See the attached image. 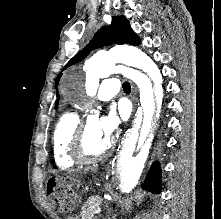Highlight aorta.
<instances>
[{
    "label": "aorta",
    "mask_w": 221,
    "mask_h": 219,
    "mask_svg": "<svg viewBox=\"0 0 221 219\" xmlns=\"http://www.w3.org/2000/svg\"><path fill=\"white\" fill-rule=\"evenodd\" d=\"M121 65L135 67L149 76L148 84L152 104L147 115L143 112L138 115L127 144L120 151L114 166L115 188L120 194L126 195L138 184L153 139L152 129L161 115L160 86L162 77L154 61L144 52L135 47L123 46L107 53L95 54L85 63L86 72L91 79L88 93L95 94L99 78L108 77ZM70 76L71 72L65 76V81H68ZM144 124H146V138L143 139L140 150L135 152L139 130L143 128Z\"/></svg>",
    "instance_id": "aorta-1"
}]
</instances>
